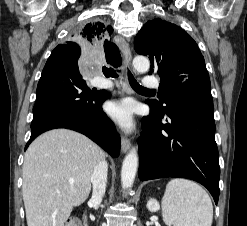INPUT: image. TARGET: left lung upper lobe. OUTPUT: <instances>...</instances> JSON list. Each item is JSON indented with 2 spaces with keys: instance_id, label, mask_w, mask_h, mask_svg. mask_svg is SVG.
Here are the masks:
<instances>
[{
  "instance_id": "left-lung-upper-lobe-1",
  "label": "left lung upper lobe",
  "mask_w": 247,
  "mask_h": 226,
  "mask_svg": "<svg viewBox=\"0 0 247 226\" xmlns=\"http://www.w3.org/2000/svg\"><path fill=\"white\" fill-rule=\"evenodd\" d=\"M138 54L148 56L151 73L160 77L159 103L162 109L165 98L186 86L210 87V79L196 42L180 27L159 18L148 21L134 39Z\"/></svg>"
}]
</instances>
